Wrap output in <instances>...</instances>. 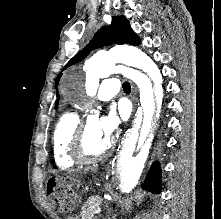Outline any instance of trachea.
Listing matches in <instances>:
<instances>
[{"label": "trachea", "mask_w": 221, "mask_h": 219, "mask_svg": "<svg viewBox=\"0 0 221 219\" xmlns=\"http://www.w3.org/2000/svg\"><path fill=\"white\" fill-rule=\"evenodd\" d=\"M123 90H124L125 93H130L131 86H130V84L128 82H124L123 83Z\"/></svg>", "instance_id": "3493384b"}]
</instances>
